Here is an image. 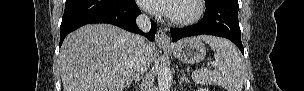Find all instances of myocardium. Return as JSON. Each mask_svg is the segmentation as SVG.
<instances>
[{"label":"myocardium","mask_w":304,"mask_h":91,"mask_svg":"<svg viewBox=\"0 0 304 91\" xmlns=\"http://www.w3.org/2000/svg\"><path fill=\"white\" fill-rule=\"evenodd\" d=\"M195 6V12L189 16L184 18H172L168 15V20L171 24L176 26H188L198 22L205 12V5L203 0H191Z\"/></svg>","instance_id":"obj_1"}]
</instances>
